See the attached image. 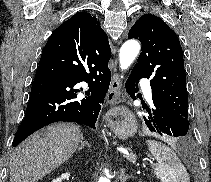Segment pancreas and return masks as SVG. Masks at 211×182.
<instances>
[{
	"label": "pancreas",
	"mask_w": 211,
	"mask_h": 182,
	"mask_svg": "<svg viewBox=\"0 0 211 182\" xmlns=\"http://www.w3.org/2000/svg\"><path fill=\"white\" fill-rule=\"evenodd\" d=\"M126 157H127V159L130 160V161H135V160H136V156L133 155V154H131V155H129V156H126Z\"/></svg>",
	"instance_id": "cf45deb5"
}]
</instances>
